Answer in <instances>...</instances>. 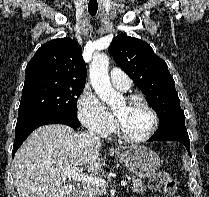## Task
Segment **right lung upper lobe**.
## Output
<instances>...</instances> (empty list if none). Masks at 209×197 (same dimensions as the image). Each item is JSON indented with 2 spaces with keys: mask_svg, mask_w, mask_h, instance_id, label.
<instances>
[{
  "mask_svg": "<svg viewBox=\"0 0 209 197\" xmlns=\"http://www.w3.org/2000/svg\"><path fill=\"white\" fill-rule=\"evenodd\" d=\"M25 73V83L50 80L85 84L87 73L81 46L70 38L51 40L36 51Z\"/></svg>",
  "mask_w": 209,
  "mask_h": 197,
  "instance_id": "1",
  "label": "right lung upper lobe"
}]
</instances>
